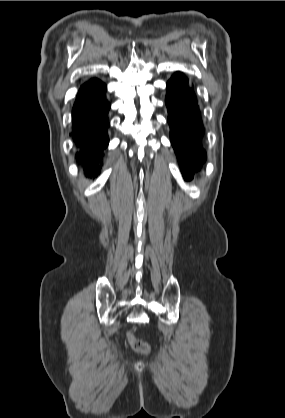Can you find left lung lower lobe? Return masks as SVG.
<instances>
[{
  "label": "left lung lower lobe",
  "instance_id": "0a47b994",
  "mask_svg": "<svg viewBox=\"0 0 285 418\" xmlns=\"http://www.w3.org/2000/svg\"><path fill=\"white\" fill-rule=\"evenodd\" d=\"M165 103L172 146L184 179L191 180L207 155L201 145L204 128L197 95L182 73L176 72L167 82Z\"/></svg>",
  "mask_w": 285,
  "mask_h": 418
}]
</instances>
